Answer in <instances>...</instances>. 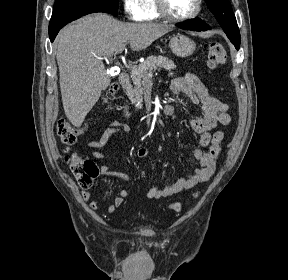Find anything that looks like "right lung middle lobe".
<instances>
[{
	"mask_svg": "<svg viewBox=\"0 0 288 280\" xmlns=\"http://www.w3.org/2000/svg\"><path fill=\"white\" fill-rule=\"evenodd\" d=\"M96 4L109 10L112 14L117 16L119 0H56L53 8V13H56L64 8L80 5V4Z\"/></svg>",
	"mask_w": 288,
	"mask_h": 280,
	"instance_id": "obj_1",
	"label": "right lung middle lobe"
}]
</instances>
